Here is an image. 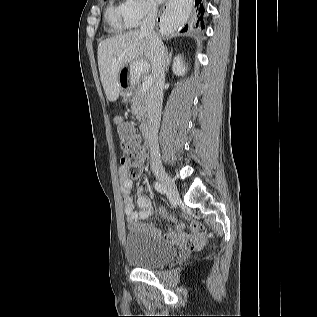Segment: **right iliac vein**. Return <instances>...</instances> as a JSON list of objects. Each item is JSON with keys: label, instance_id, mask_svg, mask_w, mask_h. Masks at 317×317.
<instances>
[{"label": "right iliac vein", "instance_id": "obj_1", "mask_svg": "<svg viewBox=\"0 0 317 317\" xmlns=\"http://www.w3.org/2000/svg\"><path fill=\"white\" fill-rule=\"evenodd\" d=\"M156 176L160 180L162 185L166 188V190L168 191L170 196L173 199H177L178 198V191H177L176 185H175L174 181L172 180V178L170 176H168L164 171L156 172Z\"/></svg>", "mask_w": 317, "mask_h": 317}]
</instances>
